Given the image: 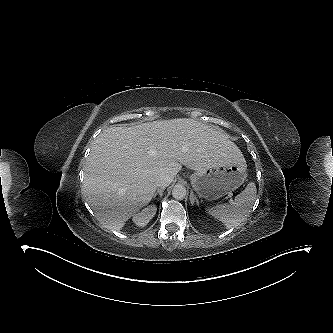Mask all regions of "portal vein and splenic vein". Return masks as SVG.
Wrapping results in <instances>:
<instances>
[{
    "label": "portal vein and splenic vein",
    "instance_id": "18ae733b",
    "mask_svg": "<svg viewBox=\"0 0 333 333\" xmlns=\"http://www.w3.org/2000/svg\"><path fill=\"white\" fill-rule=\"evenodd\" d=\"M231 196H232V195H231V194H229V197H230V198H231Z\"/></svg>",
    "mask_w": 333,
    "mask_h": 333
}]
</instances>
